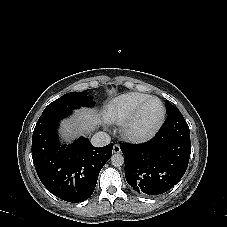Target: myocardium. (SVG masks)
I'll use <instances>...</instances> for the list:
<instances>
[{"label": "myocardium", "mask_w": 227, "mask_h": 227, "mask_svg": "<svg viewBox=\"0 0 227 227\" xmlns=\"http://www.w3.org/2000/svg\"><path fill=\"white\" fill-rule=\"evenodd\" d=\"M153 101H156L161 105V116L151 127L146 130H141L138 128L139 119L146 106ZM165 118L166 108L164 103L156 97H150L144 103H142L139 108L127 120L123 122L121 127V133L123 137L130 142L141 143L148 141L159 131L165 121Z\"/></svg>", "instance_id": "1"}]
</instances>
